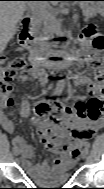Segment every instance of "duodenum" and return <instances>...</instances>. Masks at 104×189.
<instances>
[{"label": "duodenum", "mask_w": 104, "mask_h": 189, "mask_svg": "<svg viewBox=\"0 0 104 189\" xmlns=\"http://www.w3.org/2000/svg\"><path fill=\"white\" fill-rule=\"evenodd\" d=\"M35 25V20L32 17H27L23 20V28L21 30V33L19 34V46L27 51L32 52L33 51V45L35 41V34L33 31ZM33 68L38 69L41 67V62L39 59L34 58L32 60Z\"/></svg>", "instance_id": "obj_1"}]
</instances>
